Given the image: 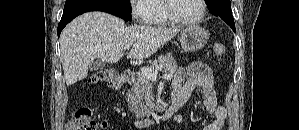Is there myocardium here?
Listing matches in <instances>:
<instances>
[{"instance_id":"f54148a6","label":"myocardium","mask_w":299,"mask_h":130,"mask_svg":"<svg viewBox=\"0 0 299 130\" xmlns=\"http://www.w3.org/2000/svg\"><path fill=\"white\" fill-rule=\"evenodd\" d=\"M173 1L174 0H165L164 1L165 14L171 23L181 25V26H193V25L200 23L204 19L205 15H206V11H207L205 0H199V4H200V8H201L200 14L196 18L191 19V20L180 19L174 14V12L172 10V2Z\"/></svg>"}]
</instances>
